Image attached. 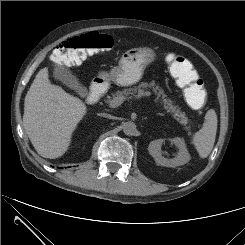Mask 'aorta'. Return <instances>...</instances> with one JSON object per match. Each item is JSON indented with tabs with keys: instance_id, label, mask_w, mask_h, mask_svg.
Masks as SVG:
<instances>
[{
	"instance_id": "1",
	"label": "aorta",
	"mask_w": 245,
	"mask_h": 245,
	"mask_svg": "<svg viewBox=\"0 0 245 245\" xmlns=\"http://www.w3.org/2000/svg\"><path fill=\"white\" fill-rule=\"evenodd\" d=\"M123 132L128 136L135 135L137 132L136 124L132 121L125 122L123 125Z\"/></svg>"
}]
</instances>
